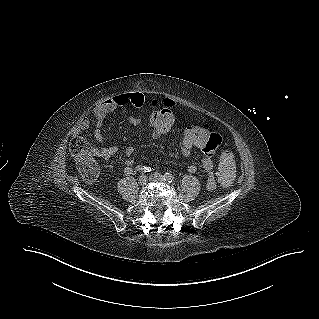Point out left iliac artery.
Listing matches in <instances>:
<instances>
[{"label": "left iliac artery", "mask_w": 319, "mask_h": 319, "mask_svg": "<svg viewBox=\"0 0 319 319\" xmlns=\"http://www.w3.org/2000/svg\"><path fill=\"white\" fill-rule=\"evenodd\" d=\"M164 179L169 182V183H173L175 181L174 176L171 173L166 172L164 175Z\"/></svg>", "instance_id": "left-iliac-artery-1"}]
</instances>
